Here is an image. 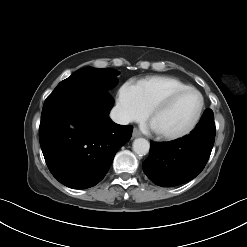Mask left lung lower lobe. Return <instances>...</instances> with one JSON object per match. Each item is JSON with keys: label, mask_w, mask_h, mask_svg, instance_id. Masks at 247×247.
<instances>
[{"label": "left lung lower lobe", "mask_w": 247, "mask_h": 247, "mask_svg": "<svg viewBox=\"0 0 247 247\" xmlns=\"http://www.w3.org/2000/svg\"><path fill=\"white\" fill-rule=\"evenodd\" d=\"M214 114L206 109L195 129L177 141H150L143 170L156 185L171 187L195 178L205 167L215 140Z\"/></svg>", "instance_id": "left-lung-lower-lobe-1"}]
</instances>
